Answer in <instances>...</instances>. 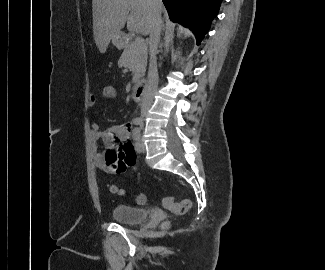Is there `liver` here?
I'll use <instances>...</instances> for the list:
<instances>
[{
  "instance_id": "6515ba94",
  "label": "liver",
  "mask_w": 325,
  "mask_h": 270,
  "mask_svg": "<svg viewBox=\"0 0 325 270\" xmlns=\"http://www.w3.org/2000/svg\"><path fill=\"white\" fill-rule=\"evenodd\" d=\"M92 12L94 40L101 53L106 52L110 40L121 33L125 23L129 32L150 33L148 0H92Z\"/></svg>"
}]
</instances>
